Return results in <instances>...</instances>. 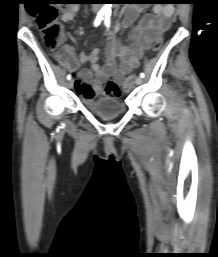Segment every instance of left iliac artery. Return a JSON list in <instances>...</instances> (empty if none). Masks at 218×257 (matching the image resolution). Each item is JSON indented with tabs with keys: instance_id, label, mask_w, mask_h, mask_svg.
<instances>
[{
	"instance_id": "obj_1",
	"label": "left iliac artery",
	"mask_w": 218,
	"mask_h": 257,
	"mask_svg": "<svg viewBox=\"0 0 218 257\" xmlns=\"http://www.w3.org/2000/svg\"><path fill=\"white\" fill-rule=\"evenodd\" d=\"M110 20H111V13L106 12L104 22H105V25H106L107 28H110ZM144 76H145V74L143 72L140 73L141 78H144Z\"/></svg>"
}]
</instances>
